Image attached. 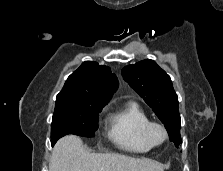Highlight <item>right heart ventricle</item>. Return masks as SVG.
<instances>
[{"label":"right heart ventricle","instance_id":"e07e8e85","mask_svg":"<svg viewBox=\"0 0 223 171\" xmlns=\"http://www.w3.org/2000/svg\"><path fill=\"white\" fill-rule=\"evenodd\" d=\"M150 121L136 102H128L109 114L108 137L119 148L133 153H145L152 149L144 136V128Z\"/></svg>","mask_w":223,"mask_h":171}]
</instances>
